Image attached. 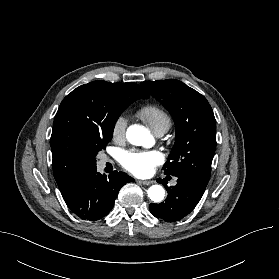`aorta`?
Listing matches in <instances>:
<instances>
[{"instance_id":"1","label":"aorta","mask_w":279,"mask_h":279,"mask_svg":"<svg viewBox=\"0 0 279 279\" xmlns=\"http://www.w3.org/2000/svg\"><path fill=\"white\" fill-rule=\"evenodd\" d=\"M128 141L137 146L147 145L151 139L148 130L140 125H132L126 133ZM148 197L155 203L161 202L165 196V190L161 185H152L148 191Z\"/></svg>"}]
</instances>
